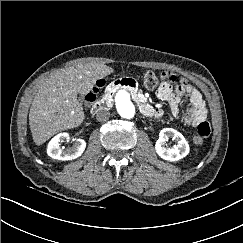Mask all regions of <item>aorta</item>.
<instances>
[{"instance_id":"1","label":"aorta","mask_w":243,"mask_h":243,"mask_svg":"<svg viewBox=\"0 0 243 243\" xmlns=\"http://www.w3.org/2000/svg\"><path fill=\"white\" fill-rule=\"evenodd\" d=\"M116 106L119 114L126 119H131L135 116V106L131 99L130 93L125 89H120L116 94Z\"/></svg>"}]
</instances>
